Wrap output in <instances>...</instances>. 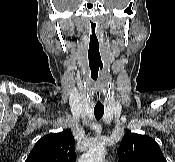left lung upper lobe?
<instances>
[{
  "instance_id": "1",
  "label": "left lung upper lobe",
  "mask_w": 175,
  "mask_h": 162,
  "mask_svg": "<svg viewBox=\"0 0 175 162\" xmlns=\"http://www.w3.org/2000/svg\"><path fill=\"white\" fill-rule=\"evenodd\" d=\"M117 154L121 162H167L154 139L130 131L123 136Z\"/></svg>"
}]
</instances>
